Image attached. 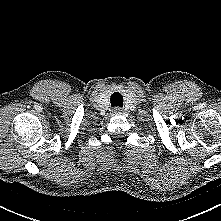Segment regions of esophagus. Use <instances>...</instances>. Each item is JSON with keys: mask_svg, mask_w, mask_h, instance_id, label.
I'll use <instances>...</instances> for the list:
<instances>
[{"mask_svg": "<svg viewBox=\"0 0 221 221\" xmlns=\"http://www.w3.org/2000/svg\"><path fill=\"white\" fill-rule=\"evenodd\" d=\"M114 113L121 114L122 113V109L121 108H115Z\"/></svg>", "mask_w": 221, "mask_h": 221, "instance_id": "esophagus-1", "label": "esophagus"}]
</instances>
